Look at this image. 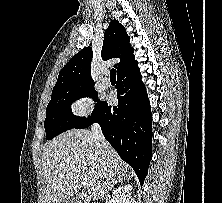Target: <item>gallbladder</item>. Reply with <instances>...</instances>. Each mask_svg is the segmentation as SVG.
Returning a JSON list of instances; mask_svg holds the SVG:
<instances>
[{
  "mask_svg": "<svg viewBox=\"0 0 222 203\" xmlns=\"http://www.w3.org/2000/svg\"><path fill=\"white\" fill-rule=\"evenodd\" d=\"M60 203H81L79 198L76 196V197H73V198H66L64 200H62Z\"/></svg>",
  "mask_w": 222,
  "mask_h": 203,
  "instance_id": "bac80fb5",
  "label": "gallbladder"
}]
</instances>
